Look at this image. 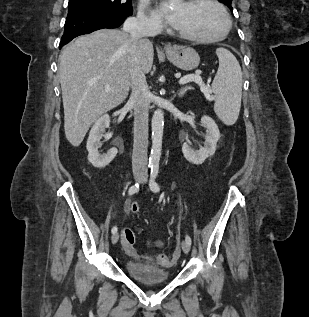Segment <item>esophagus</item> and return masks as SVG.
Listing matches in <instances>:
<instances>
[{"mask_svg":"<svg viewBox=\"0 0 309 317\" xmlns=\"http://www.w3.org/2000/svg\"><path fill=\"white\" fill-rule=\"evenodd\" d=\"M165 50H166V51L172 50L171 45H170V44H166V45H165Z\"/></svg>","mask_w":309,"mask_h":317,"instance_id":"obj_1","label":"esophagus"}]
</instances>
